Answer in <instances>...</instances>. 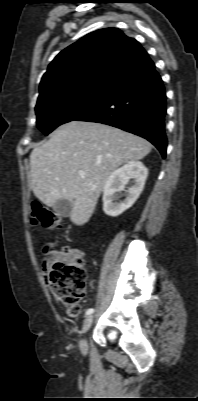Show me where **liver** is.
I'll return each instance as SVG.
<instances>
[{
	"label": "liver",
	"mask_w": 198,
	"mask_h": 401,
	"mask_svg": "<svg viewBox=\"0 0 198 401\" xmlns=\"http://www.w3.org/2000/svg\"><path fill=\"white\" fill-rule=\"evenodd\" d=\"M151 144L101 123L71 121L30 154V186L47 206L67 199L70 220L83 225L93 214L109 176L121 165L143 159ZM84 171V177L78 172Z\"/></svg>",
	"instance_id": "6515ba94"
}]
</instances>
